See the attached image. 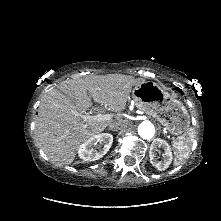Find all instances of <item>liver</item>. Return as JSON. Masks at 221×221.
<instances>
[{
  "instance_id": "liver-1",
  "label": "liver",
  "mask_w": 221,
  "mask_h": 221,
  "mask_svg": "<svg viewBox=\"0 0 221 221\" xmlns=\"http://www.w3.org/2000/svg\"><path fill=\"white\" fill-rule=\"evenodd\" d=\"M144 79L124 74L88 76L69 80L51 89L43 97L35 121V137L48 158L56 164H71L80 144L98 135L113 122H125V110L131 89ZM94 101L116 112L114 119L85 121L83 115Z\"/></svg>"
}]
</instances>
